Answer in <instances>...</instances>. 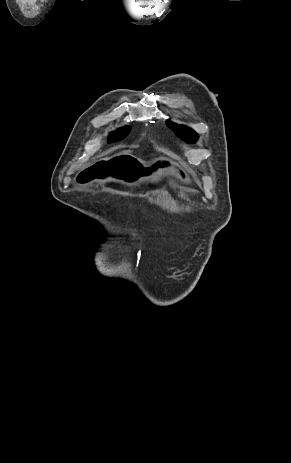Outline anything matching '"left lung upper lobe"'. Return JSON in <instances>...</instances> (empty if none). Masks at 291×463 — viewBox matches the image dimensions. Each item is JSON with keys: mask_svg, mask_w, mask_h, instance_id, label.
I'll use <instances>...</instances> for the list:
<instances>
[{"mask_svg": "<svg viewBox=\"0 0 291 463\" xmlns=\"http://www.w3.org/2000/svg\"><path fill=\"white\" fill-rule=\"evenodd\" d=\"M167 125L172 128L179 137L188 143H194L198 139L197 133L192 129L183 125L175 124L171 121H167Z\"/></svg>", "mask_w": 291, "mask_h": 463, "instance_id": "obj_1", "label": "left lung upper lobe"}]
</instances>
